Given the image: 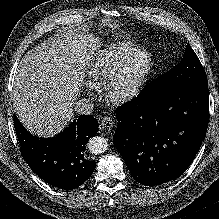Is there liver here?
I'll return each mask as SVG.
<instances>
[{"instance_id": "liver-1", "label": "liver", "mask_w": 219, "mask_h": 219, "mask_svg": "<svg viewBox=\"0 0 219 219\" xmlns=\"http://www.w3.org/2000/svg\"><path fill=\"white\" fill-rule=\"evenodd\" d=\"M97 38L68 29L28 51L13 82L15 112L26 129L51 137L73 119L84 63L97 49Z\"/></svg>"}]
</instances>
